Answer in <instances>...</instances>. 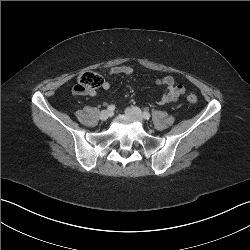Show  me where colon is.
Returning <instances> with one entry per match:
<instances>
[{
	"mask_svg": "<svg viewBox=\"0 0 250 250\" xmlns=\"http://www.w3.org/2000/svg\"><path fill=\"white\" fill-rule=\"evenodd\" d=\"M103 84V78L95 72H84L82 73L77 80L76 85L73 88V91L76 94H87L90 91H93L96 88H99ZM187 101L191 104H195L198 101V98L194 94H190L187 97Z\"/></svg>",
	"mask_w": 250,
	"mask_h": 250,
	"instance_id": "5ec220e1",
	"label": "colon"
}]
</instances>
